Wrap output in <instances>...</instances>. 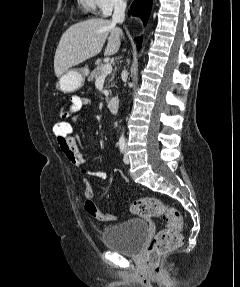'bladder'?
Wrapping results in <instances>:
<instances>
[{
    "label": "bladder",
    "instance_id": "1",
    "mask_svg": "<svg viewBox=\"0 0 240 287\" xmlns=\"http://www.w3.org/2000/svg\"><path fill=\"white\" fill-rule=\"evenodd\" d=\"M150 234L149 226L143 219H129L103 230L105 247L128 256H137Z\"/></svg>",
    "mask_w": 240,
    "mask_h": 287
}]
</instances>
